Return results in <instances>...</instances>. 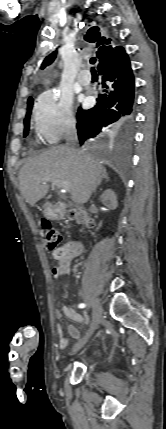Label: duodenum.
<instances>
[{
  "mask_svg": "<svg viewBox=\"0 0 166 429\" xmlns=\"http://www.w3.org/2000/svg\"><path fill=\"white\" fill-rule=\"evenodd\" d=\"M78 209L82 213V221L86 222L88 220V218H89L86 210L83 207H78ZM54 210H55V213H56L57 217H63L65 215V213L67 212V206L63 202H57L54 205Z\"/></svg>",
  "mask_w": 166,
  "mask_h": 429,
  "instance_id": "duodenum-1",
  "label": "duodenum"
}]
</instances>
